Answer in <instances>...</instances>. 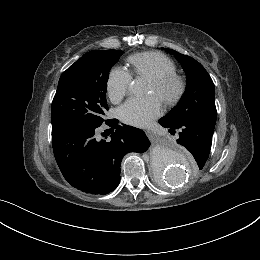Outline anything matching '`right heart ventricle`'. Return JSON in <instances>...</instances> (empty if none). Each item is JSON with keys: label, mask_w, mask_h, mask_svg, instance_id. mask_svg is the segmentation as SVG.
<instances>
[{"label": "right heart ventricle", "mask_w": 260, "mask_h": 260, "mask_svg": "<svg viewBox=\"0 0 260 260\" xmlns=\"http://www.w3.org/2000/svg\"><path fill=\"white\" fill-rule=\"evenodd\" d=\"M131 71L138 77L156 78L174 74L176 67L173 61L166 55L148 51L136 53L128 57Z\"/></svg>", "instance_id": "obj_1"}]
</instances>
